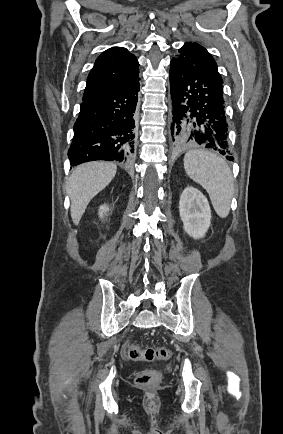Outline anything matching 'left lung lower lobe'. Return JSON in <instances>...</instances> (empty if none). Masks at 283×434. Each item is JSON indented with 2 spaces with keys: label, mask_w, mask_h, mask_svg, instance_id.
<instances>
[{
  "label": "left lung lower lobe",
  "mask_w": 283,
  "mask_h": 434,
  "mask_svg": "<svg viewBox=\"0 0 283 434\" xmlns=\"http://www.w3.org/2000/svg\"><path fill=\"white\" fill-rule=\"evenodd\" d=\"M171 134L177 147L200 146L228 156L223 82L176 59L170 63Z\"/></svg>",
  "instance_id": "obj_1"
}]
</instances>
